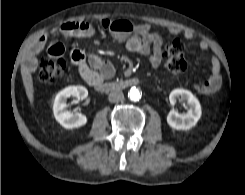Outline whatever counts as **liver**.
Returning a JSON list of instances; mask_svg holds the SVG:
<instances>
[{
    "mask_svg": "<svg viewBox=\"0 0 245 195\" xmlns=\"http://www.w3.org/2000/svg\"><path fill=\"white\" fill-rule=\"evenodd\" d=\"M21 75L23 80V85L26 91V95L30 101L31 104H33L34 101V87H33V79L30 72V69L26 66H21Z\"/></svg>",
    "mask_w": 245,
    "mask_h": 195,
    "instance_id": "liver-1",
    "label": "liver"
}]
</instances>
